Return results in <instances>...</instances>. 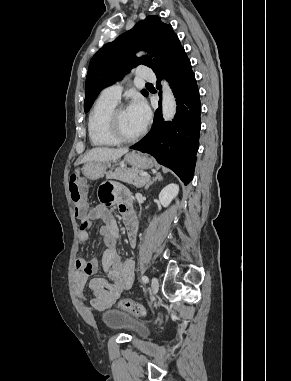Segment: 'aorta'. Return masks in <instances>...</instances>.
Here are the masks:
<instances>
[{"label": "aorta", "instance_id": "762f6f07", "mask_svg": "<svg viewBox=\"0 0 291 381\" xmlns=\"http://www.w3.org/2000/svg\"><path fill=\"white\" fill-rule=\"evenodd\" d=\"M176 100L169 84L162 81V115L165 121H171L176 114Z\"/></svg>", "mask_w": 291, "mask_h": 381}]
</instances>
